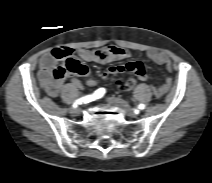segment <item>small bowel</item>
<instances>
[{"instance_id":"c3829d8e","label":"small bowel","mask_w":212,"mask_h":183,"mask_svg":"<svg viewBox=\"0 0 212 183\" xmlns=\"http://www.w3.org/2000/svg\"><path fill=\"white\" fill-rule=\"evenodd\" d=\"M63 49L68 56L77 53L78 56L86 62H95L100 64H106L114 62L117 60L126 59L129 57V52L118 46H106L96 50H79L75 52L71 48H61ZM149 58L156 64L165 65L166 69L170 72L171 62L167 54L158 51H151L148 53ZM58 58L54 55V51L45 54L40 60V71L39 78L46 91V93L51 97H56L59 94L61 89V81H54L52 78V70L56 67ZM131 72L134 73L139 79L147 80L148 74L145 70V67L141 62H128L123 65H113L104 70L103 76L107 77L110 75H115L119 73ZM72 74L67 75L70 77ZM171 76H167L165 82L155 89V95L160 98L168 92L171 86ZM72 84L76 87L80 86L79 80L73 78ZM86 84L88 86H94L96 81L89 77L86 79Z\"/></svg>"}]
</instances>
